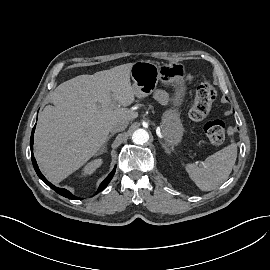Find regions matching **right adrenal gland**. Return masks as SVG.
Returning a JSON list of instances; mask_svg holds the SVG:
<instances>
[{
	"label": "right adrenal gland",
	"instance_id": "1",
	"mask_svg": "<svg viewBox=\"0 0 270 270\" xmlns=\"http://www.w3.org/2000/svg\"><path fill=\"white\" fill-rule=\"evenodd\" d=\"M114 135V133H111L107 139H106V142L104 143V145L102 146V148L99 150L98 154H102L103 152H106V146H107V143L109 141V139Z\"/></svg>",
	"mask_w": 270,
	"mask_h": 270
}]
</instances>
